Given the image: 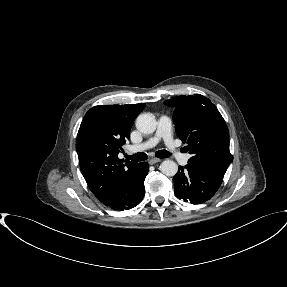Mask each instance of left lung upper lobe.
<instances>
[{
	"label": "left lung upper lobe",
	"mask_w": 287,
	"mask_h": 287,
	"mask_svg": "<svg viewBox=\"0 0 287 287\" xmlns=\"http://www.w3.org/2000/svg\"><path fill=\"white\" fill-rule=\"evenodd\" d=\"M164 103L175 108L177 134L192 154L188 164L224 175L233 157L229 131L216 106L200 94L178 96Z\"/></svg>",
	"instance_id": "5c2ea615"
}]
</instances>
